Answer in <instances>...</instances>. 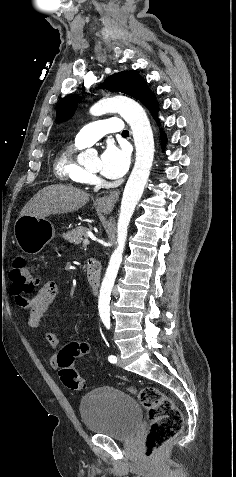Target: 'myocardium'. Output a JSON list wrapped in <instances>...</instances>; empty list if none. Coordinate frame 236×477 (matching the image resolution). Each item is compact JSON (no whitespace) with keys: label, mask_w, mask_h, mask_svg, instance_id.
I'll return each mask as SVG.
<instances>
[{"label":"myocardium","mask_w":236,"mask_h":477,"mask_svg":"<svg viewBox=\"0 0 236 477\" xmlns=\"http://www.w3.org/2000/svg\"><path fill=\"white\" fill-rule=\"evenodd\" d=\"M86 170H87V172L89 173V175H90L91 177H96V176H97V171L92 170V169H90V168H88V169H86Z\"/></svg>","instance_id":"1"}]
</instances>
